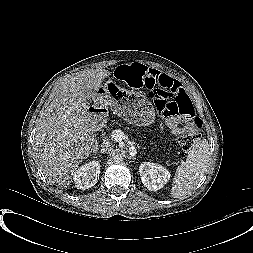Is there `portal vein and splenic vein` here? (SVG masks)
<instances>
[{"label":"portal vein and splenic vein","mask_w":253,"mask_h":253,"mask_svg":"<svg viewBox=\"0 0 253 253\" xmlns=\"http://www.w3.org/2000/svg\"><path fill=\"white\" fill-rule=\"evenodd\" d=\"M112 138L115 139V140H122L123 133L120 130H115L112 133Z\"/></svg>","instance_id":"obj_1"}]
</instances>
